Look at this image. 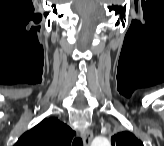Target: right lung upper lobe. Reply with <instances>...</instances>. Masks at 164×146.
<instances>
[{
    "label": "right lung upper lobe",
    "instance_id": "cb5924a9",
    "mask_svg": "<svg viewBox=\"0 0 164 146\" xmlns=\"http://www.w3.org/2000/svg\"><path fill=\"white\" fill-rule=\"evenodd\" d=\"M75 132L57 118H47L24 133L15 146H70Z\"/></svg>",
    "mask_w": 164,
    "mask_h": 146
}]
</instances>
